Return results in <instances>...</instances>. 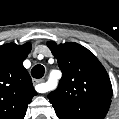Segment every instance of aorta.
Listing matches in <instances>:
<instances>
[{
	"label": "aorta",
	"instance_id": "obj_1",
	"mask_svg": "<svg viewBox=\"0 0 119 119\" xmlns=\"http://www.w3.org/2000/svg\"><path fill=\"white\" fill-rule=\"evenodd\" d=\"M50 84H51L52 86H55V84H56V80L51 79V80H50Z\"/></svg>",
	"mask_w": 119,
	"mask_h": 119
}]
</instances>
